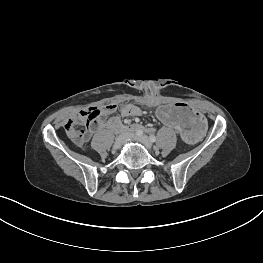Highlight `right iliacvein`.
Here are the masks:
<instances>
[{
	"mask_svg": "<svg viewBox=\"0 0 263 263\" xmlns=\"http://www.w3.org/2000/svg\"><path fill=\"white\" fill-rule=\"evenodd\" d=\"M132 137V134L131 133H124L122 135H120L114 145H113V149H118L120 148L129 138Z\"/></svg>",
	"mask_w": 263,
	"mask_h": 263,
	"instance_id": "63e3f726",
	"label": "right iliac vein"
}]
</instances>
